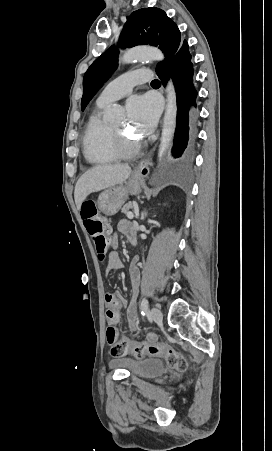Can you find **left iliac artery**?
<instances>
[{
  "mask_svg": "<svg viewBox=\"0 0 272 451\" xmlns=\"http://www.w3.org/2000/svg\"><path fill=\"white\" fill-rule=\"evenodd\" d=\"M149 312V303L147 299H143L141 302V315L145 316Z\"/></svg>",
  "mask_w": 272,
  "mask_h": 451,
  "instance_id": "1",
  "label": "left iliac artery"
}]
</instances>
